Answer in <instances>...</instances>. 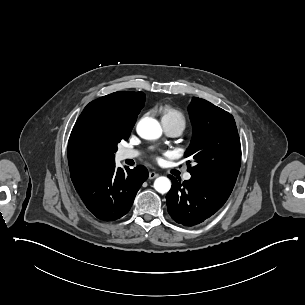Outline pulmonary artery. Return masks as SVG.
<instances>
[{
  "label": "pulmonary artery",
  "instance_id": "e3ab8cb5",
  "mask_svg": "<svg viewBox=\"0 0 305 305\" xmlns=\"http://www.w3.org/2000/svg\"><path fill=\"white\" fill-rule=\"evenodd\" d=\"M163 128L165 132L172 137H176L182 134L185 126L181 122H171V121H162ZM139 152L135 150L126 149L121 152V160L134 159L139 156ZM192 175L190 173H186L183 176L184 180H190Z\"/></svg>",
  "mask_w": 305,
  "mask_h": 305
}]
</instances>
